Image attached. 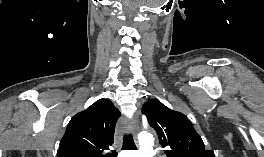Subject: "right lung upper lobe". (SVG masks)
<instances>
[{
  "label": "right lung upper lobe",
  "mask_w": 264,
  "mask_h": 157,
  "mask_svg": "<svg viewBox=\"0 0 264 157\" xmlns=\"http://www.w3.org/2000/svg\"><path fill=\"white\" fill-rule=\"evenodd\" d=\"M119 110L109 99H100L69 122L57 157H115L103 154L113 144Z\"/></svg>",
  "instance_id": "obj_1"
}]
</instances>
